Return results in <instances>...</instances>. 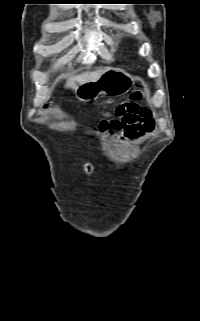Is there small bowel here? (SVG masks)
<instances>
[{"mask_svg": "<svg viewBox=\"0 0 200 321\" xmlns=\"http://www.w3.org/2000/svg\"><path fill=\"white\" fill-rule=\"evenodd\" d=\"M126 111L120 116V120L112 123L103 122L100 125L101 131L109 128L120 133L121 141L128 138L138 139L154 130V120L149 110L137 108L132 104L125 105Z\"/></svg>", "mask_w": 200, "mask_h": 321, "instance_id": "small-bowel-1", "label": "small bowel"}]
</instances>
